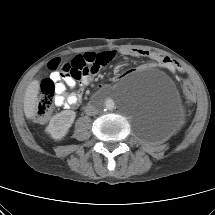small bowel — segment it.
I'll return each mask as SVG.
<instances>
[{
    "label": "small bowel",
    "mask_w": 215,
    "mask_h": 215,
    "mask_svg": "<svg viewBox=\"0 0 215 215\" xmlns=\"http://www.w3.org/2000/svg\"><path fill=\"white\" fill-rule=\"evenodd\" d=\"M118 53L123 56L135 58H149L152 60V63H157L166 68L173 65V62L169 57L142 49L124 48L119 52L115 50L103 51L99 53L85 52L84 54L79 55L85 65L79 79L74 78L72 75H64L61 72H52L51 77L55 81L56 91L55 104L64 108H72L77 106L80 103V96L74 91L77 82H80L84 86L92 83L99 71L113 61ZM67 88H70L73 91L67 93Z\"/></svg>",
    "instance_id": "obj_1"
}]
</instances>
